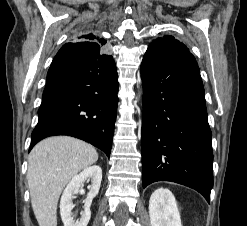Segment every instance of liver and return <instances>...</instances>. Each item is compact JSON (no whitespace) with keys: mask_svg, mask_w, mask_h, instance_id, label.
<instances>
[{"mask_svg":"<svg viewBox=\"0 0 247 226\" xmlns=\"http://www.w3.org/2000/svg\"><path fill=\"white\" fill-rule=\"evenodd\" d=\"M97 160L94 147L68 136L44 139L32 149L27 179L39 226H57V205L62 190L78 172Z\"/></svg>","mask_w":247,"mask_h":226,"instance_id":"liver-1","label":"liver"}]
</instances>
